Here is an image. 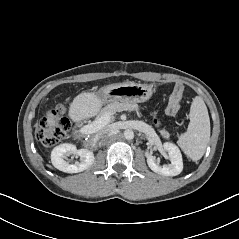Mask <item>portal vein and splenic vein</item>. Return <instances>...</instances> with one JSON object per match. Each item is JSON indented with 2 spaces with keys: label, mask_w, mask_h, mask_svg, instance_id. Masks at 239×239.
<instances>
[{
  "label": "portal vein and splenic vein",
  "mask_w": 239,
  "mask_h": 239,
  "mask_svg": "<svg viewBox=\"0 0 239 239\" xmlns=\"http://www.w3.org/2000/svg\"><path fill=\"white\" fill-rule=\"evenodd\" d=\"M111 121V114L105 113L101 115L97 120L93 123L85 125L82 129L85 133H95L109 124Z\"/></svg>",
  "instance_id": "obj_1"
}]
</instances>
